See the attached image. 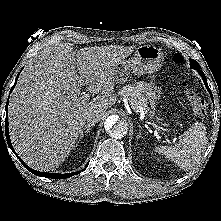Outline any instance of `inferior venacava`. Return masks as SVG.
<instances>
[{"mask_svg":"<svg viewBox=\"0 0 221 221\" xmlns=\"http://www.w3.org/2000/svg\"><path fill=\"white\" fill-rule=\"evenodd\" d=\"M104 114H105L104 111H97V110L91 111L87 113L86 121L92 124L97 123L101 120Z\"/></svg>","mask_w":221,"mask_h":221,"instance_id":"obj_1","label":"inferior vena cava"}]
</instances>
